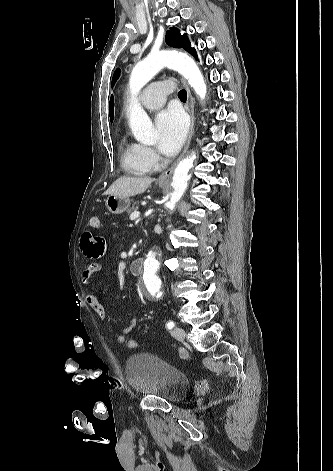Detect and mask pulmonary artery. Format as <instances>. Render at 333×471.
<instances>
[{
  "mask_svg": "<svg viewBox=\"0 0 333 471\" xmlns=\"http://www.w3.org/2000/svg\"><path fill=\"white\" fill-rule=\"evenodd\" d=\"M172 85L168 81H158L150 84L140 97L141 104L148 110L160 108L171 92Z\"/></svg>",
  "mask_w": 333,
  "mask_h": 471,
  "instance_id": "obj_1",
  "label": "pulmonary artery"
}]
</instances>
